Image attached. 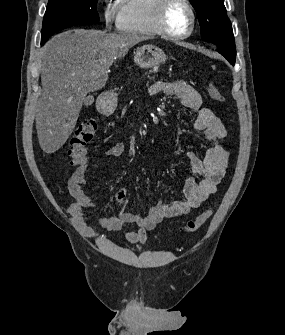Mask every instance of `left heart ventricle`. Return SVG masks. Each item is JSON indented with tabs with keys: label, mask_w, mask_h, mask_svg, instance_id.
Here are the masks:
<instances>
[{
	"label": "left heart ventricle",
	"mask_w": 285,
	"mask_h": 335,
	"mask_svg": "<svg viewBox=\"0 0 285 335\" xmlns=\"http://www.w3.org/2000/svg\"><path fill=\"white\" fill-rule=\"evenodd\" d=\"M188 21V11L180 3H175L169 10L168 23L174 30L181 28L186 25Z\"/></svg>",
	"instance_id": "obj_1"
}]
</instances>
